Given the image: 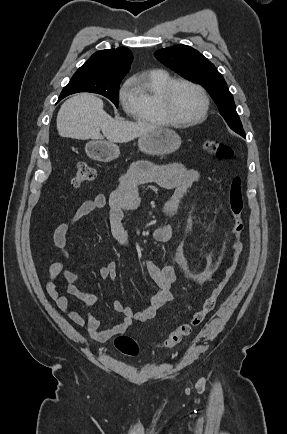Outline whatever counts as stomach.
Listing matches in <instances>:
<instances>
[{
    "mask_svg": "<svg viewBox=\"0 0 287 434\" xmlns=\"http://www.w3.org/2000/svg\"><path fill=\"white\" fill-rule=\"evenodd\" d=\"M180 145V136L175 131L163 127L149 131L138 139L139 149L147 155L171 154ZM85 150L91 159L100 162H110L120 154L116 144L105 141H91L86 145Z\"/></svg>",
    "mask_w": 287,
    "mask_h": 434,
    "instance_id": "obj_1",
    "label": "stomach"
}]
</instances>
